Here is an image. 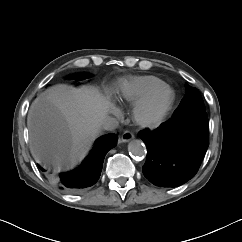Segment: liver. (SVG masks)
Wrapping results in <instances>:
<instances>
[{"mask_svg": "<svg viewBox=\"0 0 242 242\" xmlns=\"http://www.w3.org/2000/svg\"><path fill=\"white\" fill-rule=\"evenodd\" d=\"M108 112L94 87L57 85L32 103L28 114L33 156L70 169L87 154Z\"/></svg>", "mask_w": 242, "mask_h": 242, "instance_id": "obj_1", "label": "liver"}]
</instances>
